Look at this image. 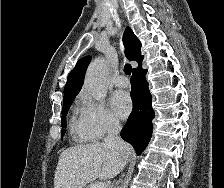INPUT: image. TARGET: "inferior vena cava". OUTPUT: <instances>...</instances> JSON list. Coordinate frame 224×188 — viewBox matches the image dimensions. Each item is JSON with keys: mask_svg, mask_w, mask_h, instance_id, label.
<instances>
[{"mask_svg": "<svg viewBox=\"0 0 224 188\" xmlns=\"http://www.w3.org/2000/svg\"><path fill=\"white\" fill-rule=\"evenodd\" d=\"M121 126L115 119H111L108 122L107 136L104 139V145L118 148L125 153V156L129 157L128 145L120 137Z\"/></svg>", "mask_w": 224, "mask_h": 188, "instance_id": "1", "label": "inferior vena cava"}]
</instances>
